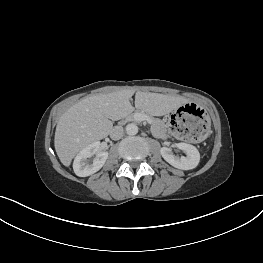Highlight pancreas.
<instances>
[{"label": "pancreas", "instance_id": "obj_1", "mask_svg": "<svg viewBox=\"0 0 263 263\" xmlns=\"http://www.w3.org/2000/svg\"><path fill=\"white\" fill-rule=\"evenodd\" d=\"M138 113L147 115L143 111H135L134 113L128 114L126 116V120L127 121H136L135 115L138 114ZM149 117H150V119L152 121L151 131H152L153 135L155 137L165 139L167 137V135H166V127H165L164 122L162 120L158 119V118H154V117H151V116H149Z\"/></svg>", "mask_w": 263, "mask_h": 263}]
</instances>
